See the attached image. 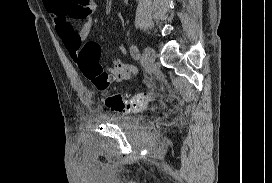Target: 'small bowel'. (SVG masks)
Segmentation results:
<instances>
[{
	"mask_svg": "<svg viewBox=\"0 0 272 183\" xmlns=\"http://www.w3.org/2000/svg\"><path fill=\"white\" fill-rule=\"evenodd\" d=\"M43 5L56 24V30L71 57L77 61L82 43L88 38L93 27V16L96 3L93 0H43ZM83 21L79 31H75L73 22ZM119 51L125 52L120 45ZM109 73L115 81H125L133 77L135 69L132 65L120 60L113 61Z\"/></svg>",
	"mask_w": 272,
	"mask_h": 183,
	"instance_id": "1",
	"label": "small bowel"
}]
</instances>
